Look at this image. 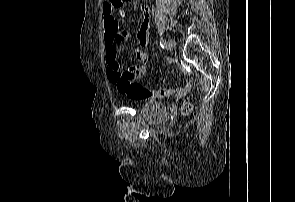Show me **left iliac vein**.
Instances as JSON below:
<instances>
[{
	"mask_svg": "<svg viewBox=\"0 0 295 202\" xmlns=\"http://www.w3.org/2000/svg\"><path fill=\"white\" fill-rule=\"evenodd\" d=\"M174 45H175L174 40L169 39V40L166 42L165 47H166L167 50L172 51L173 48H174Z\"/></svg>",
	"mask_w": 295,
	"mask_h": 202,
	"instance_id": "4c4485c4",
	"label": "left iliac vein"
}]
</instances>
